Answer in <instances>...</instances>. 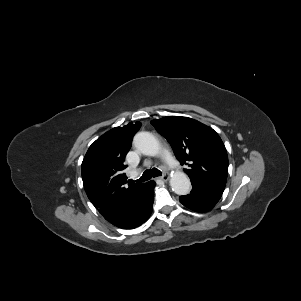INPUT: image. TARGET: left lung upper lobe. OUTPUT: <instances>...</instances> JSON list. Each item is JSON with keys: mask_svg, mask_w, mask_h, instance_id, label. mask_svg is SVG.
<instances>
[{"mask_svg": "<svg viewBox=\"0 0 301 301\" xmlns=\"http://www.w3.org/2000/svg\"><path fill=\"white\" fill-rule=\"evenodd\" d=\"M151 124L167 139L176 158L183 165L191 182L224 191L228 157L219 135L209 126L194 119L168 116Z\"/></svg>", "mask_w": 301, "mask_h": 301, "instance_id": "left-lung-upper-lobe-1", "label": "left lung upper lobe"}]
</instances>
